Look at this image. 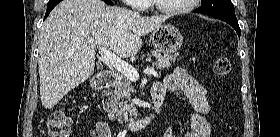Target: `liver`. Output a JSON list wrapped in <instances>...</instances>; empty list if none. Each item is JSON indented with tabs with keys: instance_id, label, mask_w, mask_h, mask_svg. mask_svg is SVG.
Here are the masks:
<instances>
[{
	"instance_id": "1",
	"label": "liver",
	"mask_w": 280,
	"mask_h": 137,
	"mask_svg": "<svg viewBox=\"0 0 280 137\" xmlns=\"http://www.w3.org/2000/svg\"><path fill=\"white\" fill-rule=\"evenodd\" d=\"M168 16L143 17L102 0H63L44 21L39 44L41 102L51 109L94 73L96 49L120 57L135 55L141 37Z\"/></svg>"
}]
</instances>
